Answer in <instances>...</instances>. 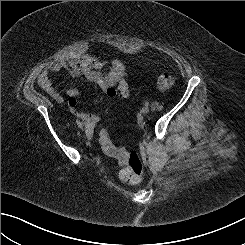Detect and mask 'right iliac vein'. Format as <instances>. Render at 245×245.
<instances>
[{
  "label": "right iliac vein",
  "mask_w": 245,
  "mask_h": 245,
  "mask_svg": "<svg viewBox=\"0 0 245 245\" xmlns=\"http://www.w3.org/2000/svg\"><path fill=\"white\" fill-rule=\"evenodd\" d=\"M83 127H84V125L81 123V124L79 125V128L82 129Z\"/></svg>",
  "instance_id": "1"
}]
</instances>
